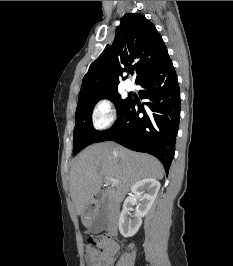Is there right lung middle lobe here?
<instances>
[{"instance_id":"1","label":"right lung middle lobe","mask_w":233,"mask_h":266,"mask_svg":"<svg viewBox=\"0 0 233 266\" xmlns=\"http://www.w3.org/2000/svg\"><path fill=\"white\" fill-rule=\"evenodd\" d=\"M102 98L113 101L120 115L130 102V98L121 99L116 89L96 93L78 100L75 113V128L73 138V152L77 153L84 147L94 143L104 132L96 131L92 126V110Z\"/></svg>"}]
</instances>
